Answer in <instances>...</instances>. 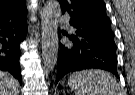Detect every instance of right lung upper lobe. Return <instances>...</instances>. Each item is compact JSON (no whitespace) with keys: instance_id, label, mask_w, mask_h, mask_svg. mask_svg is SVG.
<instances>
[{"instance_id":"1","label":"right lung upper lobe","mask_w":135,"mask_h":95,"mask_svg":"<svg viewBox=\"0 0 135 95\" xmlns=\"http://www.w3.org/2000/svg\"><path fill=\"white\" fill-rule=\"evenodd\" d=\"M27 17L26 0H0V20H20Z\"/></svg>"}]
</instances>
